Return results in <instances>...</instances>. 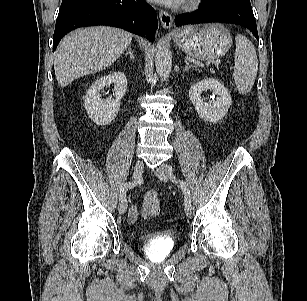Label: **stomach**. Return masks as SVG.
Here are the masks:
<instances>
[{
    "label": "stomach",
    "mask_w": 307,
    "mask_h": 301,
    "mask_svg": "<svg viewBox=\"0 0 307 301\" xmlns=\"http://www.w3.org/2000/svg\"><path fill=\"white\" fill-rule=\"evenodd\" d=\"M174 40L182 51L200 60L218 59L232 45L228 29L219 23L185 26L175 32Z\"/></svg>",
    "instance_id": "obj_1"
}]
</instances>
